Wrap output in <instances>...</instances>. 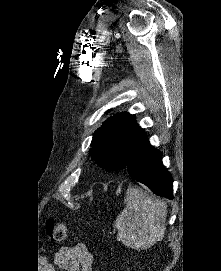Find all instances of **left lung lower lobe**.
<instances>
[{
  "label": "left lung lower lobe",
  "mask_w": 221,
  "mask_h": 271,
  "mask_svg": "<svg viewBox=\"0 0 221 271\" xmlns=\"http://www.w3.org/2000/svg\"><path fill=\"white\" fill-rule=\"evenodd\" d=\"M126 170L134 181L161 197L173 199V179L162 164V154L146 139L132 154Z\"/></svg>",
  "instance_id": "1"
}]
</instances>
